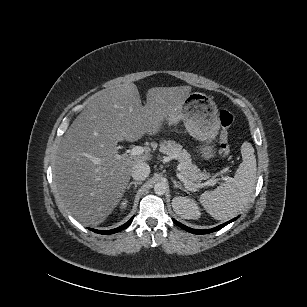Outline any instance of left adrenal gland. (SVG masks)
Listing matches in <instances>:
<instances>
[{"mask_svg":"<svg viewBox=\"0 0 307 307\" xmlns=\"http://www.w3.org/2000/svg\"><path fill=\"white\" fill-rule=\"evenodd\" d=\"M172 182L174 183V187H179L186 190L185 187L182 184H180L178 180H172Z\"/></svg>","mask_w":307,"mask_h":307,"instance_id":"left-adrenal-gland-1","label":"left adrenal gland"}]
</instances>
